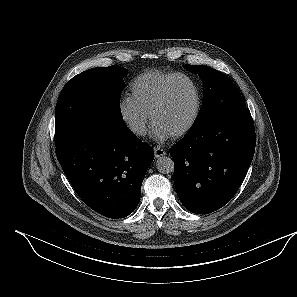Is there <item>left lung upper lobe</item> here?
Segmentation results:
<instances>
[{
	"label": "left lung upper lobe",
	"mask_w": 297,
	"mask_h": 297,
	"mask_svg": "<svg viewBox=\"0 0 297 297\" xmlns=\"http://www.w3.org/2000/svg\"><path fill=\"white\" fill-rule=\"evenodd\" d=\"M183 67L198 74L205 87L203 106L191 128L210 123L226 111L246 106L236 85L222 72L200 65Z\"/></svg>",
	"instance_id": "left-lung-upper-lobe-1"
}]
</instances>
